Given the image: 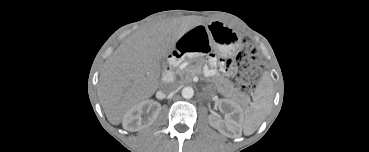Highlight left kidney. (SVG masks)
Listing matches in <instances>:
<instances>
[{
  "label": "left kidney",
  "mask_w": 369,
  "mask_h": 152,
  "mask_svg": "<svg viewBox=\"0 0 369 152\" xmlns=\"http://www.w3.org/2000/svg\"><path fill=\"white\" fill-rule=\"evenodd\" d=\"M218 105L220 108H224L226 110L225 114L226 124L232 129L238 128L241 125L244 116L243 110L240 107V105L228 99L219 100ZM208 121L212 127L218 130L221 129V122L218 119H216V117L210 115Z\"/></svg>",
  "instance_id": "obj_1"
}]
</instances>
